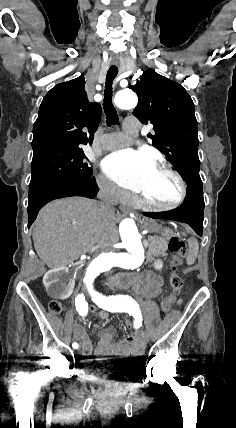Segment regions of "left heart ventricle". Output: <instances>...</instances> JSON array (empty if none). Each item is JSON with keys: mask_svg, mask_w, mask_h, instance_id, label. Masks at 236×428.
<instances>
[{"mask_svg": "<svg viewBox=\"0 0 236 428\" xmlns=\"http://www.w3.org/2000/svg\"><path fill=\"white\" fill-rule=\"evenodd\" d=\"M140 194L153 202L169 204L177 198L179 185L164 170L154 169L146 178Z\"/></svg>", "mask_w": 236, "mask_h": 428, "instance_id": "1", "label": "left heart ventricle"}]
</instances>
